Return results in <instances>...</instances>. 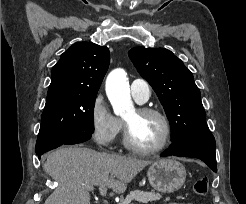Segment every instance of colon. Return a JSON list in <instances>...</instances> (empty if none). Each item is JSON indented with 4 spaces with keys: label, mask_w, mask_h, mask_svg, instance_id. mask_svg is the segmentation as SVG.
Returning a JSON list of instances; mask_svg holds the SVG:
<instances>
[{
    "label": "colon",
    "mask_w": 246,
    "mask_h": 204,
    "mask_svg": "<svg viewBox=\"0 0 246 204\" xmlns=\"http://www.w3.org/2000/svg\"><path fill=\"white\" fill-rule=\"evenodd\" d=\"M208 185V179L206 177H202L195 181L193 190L197 195H205L208 190Z\"/></svg>",
    "instance_id": "obj_1"
}]
</instances>
